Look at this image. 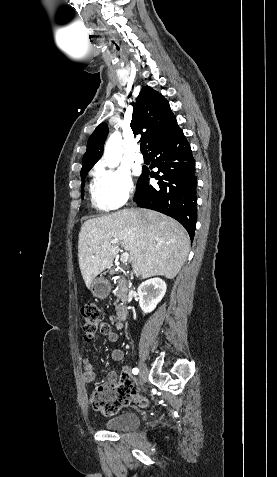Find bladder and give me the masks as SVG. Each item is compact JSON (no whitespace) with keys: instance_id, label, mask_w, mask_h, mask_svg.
I'll return each instance as SVG.
<instances>
[{"instance_id":"31cf9c89","label":"bladder","mask_w":277,"mask_h":477,"mask_svg":"<svg viewBox=\"0 0 277 477\" xmlns=\"http://www.w3.org/2000/svg\"><path fill=\"white\" fill-rule=\"evenodd\" d=\"M140 425V417L134 412H123L108 420L104 427L110 431H128L136 429Z\"/></svg>"}]
</instances>
